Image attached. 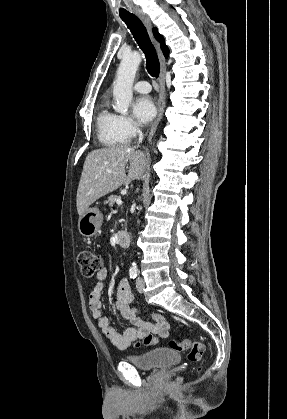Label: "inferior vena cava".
I'll use <instances>...</instances> for the list:
<instances>
[{
	"mask_svg": "<svg viewBox=\"0 0 287 419\" xmlns=\"http://www.w3.org/2000/svg\"><path fill=\"white\" fill-rule=\"evenodd\" d=\"M137 133H138V136H139V143H141L142 142V140H143V133H142V131L141 130H137Z\"/></svg>",
	"mask_w": 287,
	"mask_h": 419,
	"instance_id": "inferior-vena-cava-1",
	"label": "inferior vena cava"
}]
</instances>
